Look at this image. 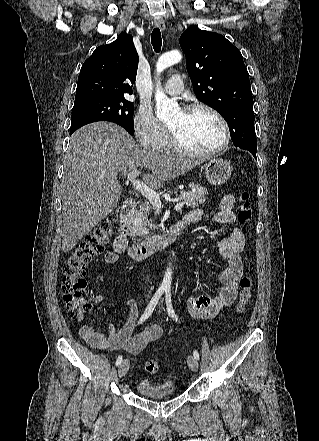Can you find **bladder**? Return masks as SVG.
Wrapping results in <instances>:
<instances>
[{"mask_svg": "<svg viewBox=\"0 0 319 441\" xmlns=\"http://www.w3.org/2000/svg\"><path fill=\"white\" fill-rule=\"evenodd\" d=\"M136 389L145 398L159 399L176 395V385L171 380L154 383L148 379H140L136 383Z\"/></svg>", "mask_w": 319, "mask_h": 441, "instance_id": "obj_1", "label": "bladder"}]
</instances>
